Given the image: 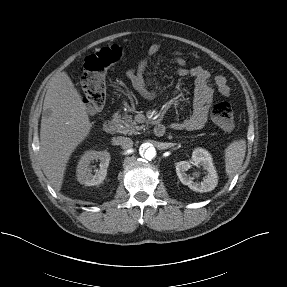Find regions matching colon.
<instances>
[{"mask_svg": "<svg viewBox=\"0 0 287 287\" xmlns=\"http://www.w3.org/2000/svg\"><path fill=\"white\" fill-rule=\"evenodd\" d=\"M122 56V48L112 45L85 59L81 85L83 101L90 112H97L104 107L106 101V72ZM211 117L213 122L223 130L229 131L234 127V115L229 102L221 101L214 104L211 109Z\"/></svg>", "mask_w": 287, "mask_h": 287, "instance_id": "5ec220e1", "label": "colon"}]
</instances>
